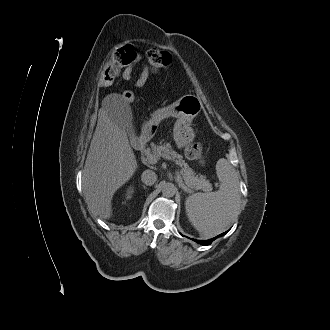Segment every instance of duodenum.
I'll use <instances>...</instances> for the list:
<instances>
[{
    "label": "duodenum",
    "mask_w": 330,
    "mask_h": 330,
    "mask_svg": "<svg viewBox=\"0 0 330 330\" xmlns=\"http://www.w3.org/2000/svg\"><path fill=\"white\" fill-rule=\"evenodd\" d=\"M149 137L150 136L148 132H143L141 135L133 136L132 143L135 145V147L142 148L143 145H145L146 141L149 139Z\"/></svg>",
    "instance_id": "1"
}]
</instances>
